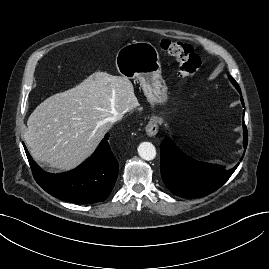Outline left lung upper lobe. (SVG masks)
<instances>
[{
  "label": "left lung upper lobe",
  "mask_w": 269,
  "mask_h": 269,
  "mask_svg": "<svg viewBox=\"0 0 269 269\" xmlns=\"http://www.w3.org/2000/svg\"><path fill=\"white\" fill-rule=\"evenodd\" d=\"M230 80L233 83V85L236 87V89H239V85L237 84V82L232 77H230Z\"/></svg>",
  "instance_id": "5c2ea615"
}]
</instances>
